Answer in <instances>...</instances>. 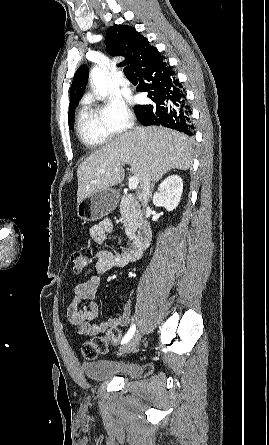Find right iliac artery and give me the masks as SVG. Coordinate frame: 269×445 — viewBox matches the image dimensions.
<instances>
[{"instance_id": "82829eb1", "label": "right iliac artery", "mask_w": 269, "mask_h": 445, "mask_svg": "<svg viewBox=\"0 0 269 445\" xmlns=\"http://www.w3.org/2000/svg\"><path fill=\"white\" fill-rule=\"evenodd\" d=\"M135 329H136V327H135V324H133L131 327H130V329L128 330V332H127V334L124 336V338L122 339V344H124V343H127L131 338H132V336L134 335V333H135Z\"/></svg>"}]
</instances>
